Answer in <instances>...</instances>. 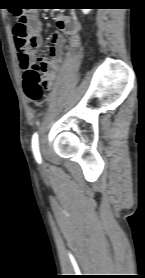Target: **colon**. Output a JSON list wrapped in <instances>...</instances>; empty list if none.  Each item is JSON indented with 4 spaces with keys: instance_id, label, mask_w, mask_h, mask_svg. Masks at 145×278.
Returning a JSON list of instances; mask_svg holds the SVG:
<instances>
[{
    "instance_id": "colon-1",
    "label": "colon",
    "mask_w": 145,
    "mask_h": 278,
    "mask_svg": "<svg viewBox=\"0 0 145 278\" xmlns=\"http://www.w3.org/2000/svg\"><path fill=\"white\" fill-rule=\"evenodd\" d=\"M14 37L19 52H22L27 44L28 30L24 18H19L13 27ZM24 91L27 98L33 103H41L44 98V88L46 86L45 62L42 57L33 58L32 65L23 74Z\"/></svg>"
}]
</instances>
